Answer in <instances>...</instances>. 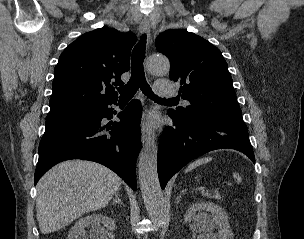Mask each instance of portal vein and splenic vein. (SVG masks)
<instances>
[{"instance_id":"portal-vein-and-splenic-vein-1","label":"portal vein and splenic vein","mask_w":304,"mask_h":239,"mask_svg":"<svg viewBox=\"0 0 304 239\" xmlns=\"http://www.w3.org/2000/svg\"><path fill=\"white\" fill-rule=\"evenodd\" d=\"M210 194H211V193H210L209 191H207V192L205 193V195H207V196L210 195Z\"/></svg>"}]
</instances>
